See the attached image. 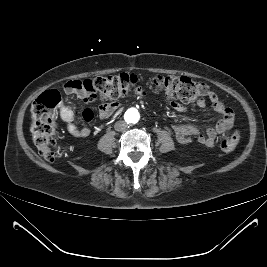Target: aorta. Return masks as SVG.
Wrapping results in <instances>:
<instances>
[{
  "label": "aorta",
  "instance_id": "1",
  "mask_svg": "<svg viewBox=\"0 0 267 267\" xmlns=\"http://www.w3.org/2000/svg\"><path fill=\"white\" fill-rule=\"evenodd\" d=\"M125 118L129 123H137L139 120V113L137 110L135 109H129L126 113H125Z\"/></svg>",
  "mask_w": 267,
  "mask_h": 267
}]
</instances>
